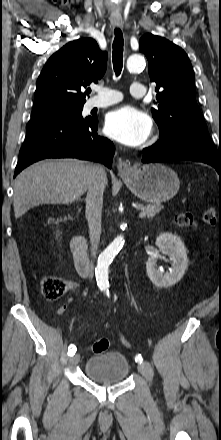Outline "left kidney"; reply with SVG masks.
<instances>
[{"instance_id": "obj_1", "label": "left kidney", "mask_w": 221, "mask_h": 440, "mask_svg": "<svg viewBox=\"0 0 221 440\" xmlns=\"http://www.w3.org/2000/svg\"><path fill=\"white\" fill-rule=\"evenodd\" d=\"M156 245L169 257L171 268L164 273L157 267V261L161 256L154 255L146 262L147 275L155 286L168 288L181 280L188 267L187 249L180 237L172 233H161L156 239Z\"/></svg>"}]
</instances>
